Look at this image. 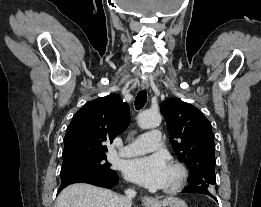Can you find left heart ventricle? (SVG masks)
<instances>
[{
    "label": "left heart ventricle",
    "instance_id": "1",
    "mask_svg": "<svg viewBox=\"0 0 261 207\" xmlns=\"http://www.w3.org/2000/svg\"><path fill=\"white\" fill-rule=\"evenodd\" d=\"M175 178L176 173L170 167H168L163 187L170 185L175 180Z\"/></svg>",
    "mask_w": 261,
    "mask_h": 207
}]
</instances>
